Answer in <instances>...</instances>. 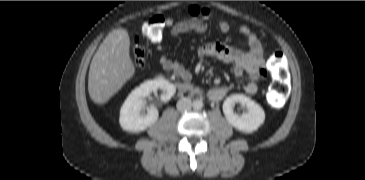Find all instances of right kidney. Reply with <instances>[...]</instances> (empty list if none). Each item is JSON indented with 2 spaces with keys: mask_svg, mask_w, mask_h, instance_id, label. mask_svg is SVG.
<instances>
[{
  "mask_svg": "<svg viewBox=\"0 0 365 180\" xmlns=\"http://www.w3.org/2000/svg\"><path fill=\"white\" fill-rule=\"evenodd\" d=\"M158 90L162 91L160 99L167 102L175 94L176 87L164 78H157L142 83L129 94L120 110L119 123L123 130L141 132L157 121L159 113L154 106L147 108L145 115L141 111L145 107L144 99Z\"/></svg>",
  "mask_w": 365,
  "mask_h": 180,
  "instance_id": "obj_1",
  "label": "right kidney"
}]
</instances>
